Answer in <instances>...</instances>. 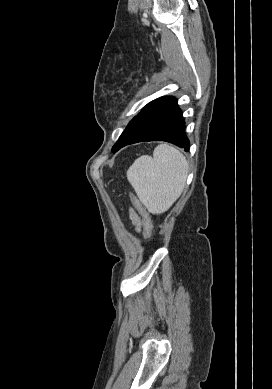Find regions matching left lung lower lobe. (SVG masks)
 Listing matches in <instances>:
<instances>
[{"mask_svg": "<svg viewBox=\"0 0 272 389\" xmlns=\"http://www.w3.org/2000/svg\"><path fill=\"white\" fill-rule=\"evenodd\" d=\"M142 141H166L189 150L184 119L176 98L164 96L148 103L118 141L115 152Z\"/></svg>", "mask_w": 272, "mask_h": 389, "instance_id": "left-lung-lower-lobe-1", "label": "left lung lower lobe"}]
</instances>
